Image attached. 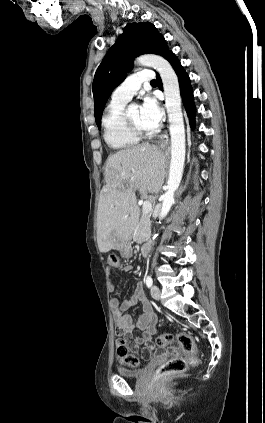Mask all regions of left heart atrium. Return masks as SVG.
Listing matches in <instances>:
<instances>
[{
  "mask_svg": "<svg viewBox=\"0 0 265 423\" xmlns=\"http://www.w3.org/2000/svg\"><path fill=\"white\" fill-rule=\"evenodd\" d=\"M143 122L148 128H156L163 119V111L158 102L152 97H146L140 108Z\"/></svg>",
  "mask_w": 265,
  "mask_h": 423,
  "instance_id": "obj_1",
  "label": "left heart atrium"
}]
</instances>
